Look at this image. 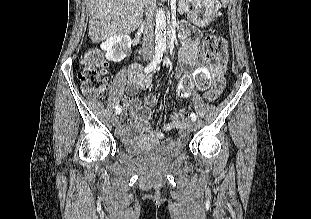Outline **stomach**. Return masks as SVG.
Listing matches in <instances>:
<instances>
[{"label": "stomach", "mask_w": 311, "mask_h": 219, "mask_svg": "<svg viewBox=\"0 0 311 219\" xmlns=\"http://www.w3.org/2000/svg\"><path fill=\"white\" fill-rule=\"evenodd\" d=\"M192 11L189 14L190 21L198 27L210 25L214 18L216 0H191Z\"/></svg>", "instance_id": "stomach-1"}]
</instances>
